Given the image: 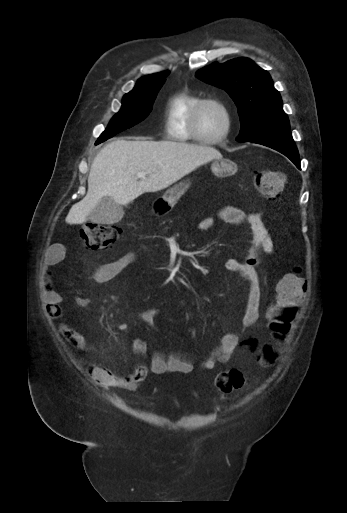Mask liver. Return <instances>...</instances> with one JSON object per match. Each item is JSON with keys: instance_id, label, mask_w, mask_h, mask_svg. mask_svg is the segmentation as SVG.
I'll list each match as a JSON object with an SVG mask.
<instances>
[{"instance_id": "liver-1", "label": "liver", "mask_w": 347, "mask_h": 513, "mask_svg": "<svg viewBox=\"0 0 347 513\" xmlns=\"http://www.w3.org/2000/svg\"><path fill=\"white\" fill-rule=\"evenodd\" d=\"M213 147L173 141L115 140L95 157L88 191L66 216L68 224H83L103 197L126 205L146 192L169 187L198 166L221 158ZM147 174L137 180V173Z\"/></svg>"}]
</instances>
